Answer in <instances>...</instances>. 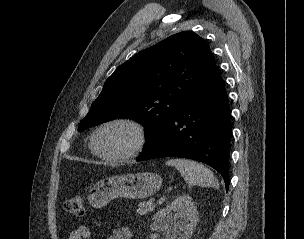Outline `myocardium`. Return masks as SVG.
I'll use <instances>...</instances> for the list:
<instances>
[{"label": "myocardium", "mask_w": 304, "mask_h": 239, "mask_svg": "<svg viewBox=\"0 0 304 239\" xmlns=\"http://www.w3.org/2000/svg\"><path fill=\"white\" fill-rule=\"evenodd\" d=\"M113 125H124L131 128L135 134L134 144L130 149L119 154H107L100 150L97 145V136L101 130ZM147 142V131L145 126L138 120L131 117H115L108 119L98 125L93 131L90 139V146L93 152L100 158L112 162H124L139 155Z\"/></svg>", "instance_id": "myocardium-1"}]
</instances>
